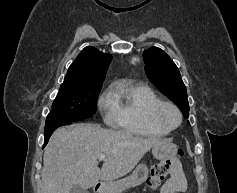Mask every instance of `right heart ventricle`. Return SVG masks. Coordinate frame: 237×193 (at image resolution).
<instances>
[{
	"instance_id": "obj_1",
	"label": "right heart ventricle",
	"mask_w": 237,
	"mask_h": 193,
	"mask_svg": "<svg viewBox=\"0 0 237 193\" xmlns=\"http://www.w3.org/2000/svg\"><path fill=\"white\" fill-rule=\"evenodd\" d=\"M114 111L111 123L122 131L139 136L168 134L150 119L151 108L161 101L148 86L140 83H123L113 93Z\"/></svg>"
}]
</instances>
